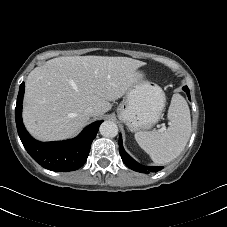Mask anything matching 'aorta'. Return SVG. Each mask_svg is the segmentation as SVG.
<instances>
[{"mask_svg":"<svg viewBox=\"0 0 227 227\" xmlns=\"http://www.w3.org/2000/svg\"><path fill=\"white\" fill-rule=\"evenodd\" d=\"M99 131L102 136L113 138L118 134V127L113 121H104L101 124Z\"/></svg>","mask_w":227,"mask_h":227,"instance_id":"762f6f07","label":"aorta"}]
</instances>
